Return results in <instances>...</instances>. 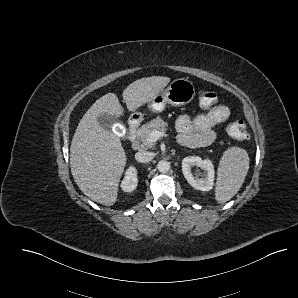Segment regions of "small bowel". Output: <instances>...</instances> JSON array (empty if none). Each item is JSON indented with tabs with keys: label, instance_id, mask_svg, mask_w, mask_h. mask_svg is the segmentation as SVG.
<instances>
[{
	"label": "small bowel",
	"instance_id": "small-bowel-1",
	"mask_svg": "<svg viewBox=\"0 0 298 298\" xmlns=\"http://www.w3.org/2000/svg\"><path fill=\"white\" fill-rule=\"evenodd\" d=\"M231 114L226 105H217L206 114H201L194 119L188 116H180L176 122L177 129L182 136H190L197 140V146H205L213 142L216 133L213 128L225 122Z\"/></svg>",
	"mask_w": 298,
	"mask_h": 298
}]
</instances>
